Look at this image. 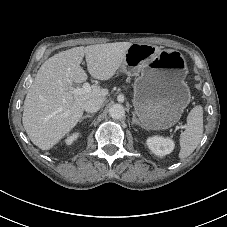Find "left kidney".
<instances>
[{
	"label": "left kidney",
	"instance_id": "obj_1",
	"mask_svg": "<svg viewBox=\"0 0 227 227\" xmlns=\"http://www.w3.org/2000/svg\"><path fill=\"white\" fill-rule=\"evenodd\" d=\"M148 148L158 156L170 154L174 149V141L170 138L159 136L150 137L146 141Z\"/></svg>",
	"mask_w": 227,
	"mask_h": 227
}]
</instances>
